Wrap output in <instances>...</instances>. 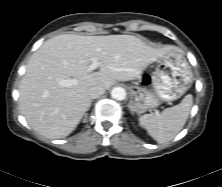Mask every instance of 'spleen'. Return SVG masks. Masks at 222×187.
Instances as JSON below:
<instances>
[{
  "mask_svg": "<svg viewBox=\"0 0 222 187\" xmlns=\"http://www.w3.org/2000/svg\"><path fill=\"white\" fill-rule=\"evenodd\" d=\"M193 104L191 94L186 95L180 104L166 108L160 114H144L141 125L159 144L171 141L183 128Z\"/></svg>",
  "mask_w": 222,
  "mask_h": 187,
  "instance_id": "1",
  "label": "spleen"
}]
</instances>
